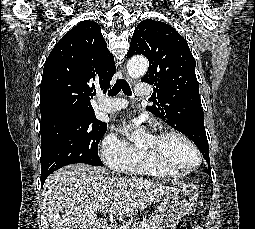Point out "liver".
<instances>
[{
	"label": "liver",
	"mask_w": 255,
	"mask_h": 229,
	"mask_svg": "<svg viewBox=\"0 0 255 229\" xmlns=\"http://www.w3.org/2000/svg\"><path fill=\"white\" fill-rule=\"evenodd\" d=\"M172 191L171 187L143 178H110L104 167L79 163L51 174L41 195L51 229H101L98 214L129 217Z\"/></svg>",
	"instance_id": "6515ba94"
}]
</instances>
